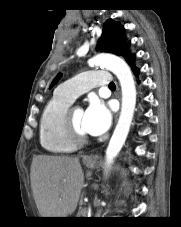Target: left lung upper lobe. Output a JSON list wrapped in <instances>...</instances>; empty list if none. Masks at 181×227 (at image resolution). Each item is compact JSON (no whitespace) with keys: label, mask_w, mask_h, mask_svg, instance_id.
Segmentation results:
<instances>
[{"label":"left lung upper lobe","mask_w":181,"mask_h":227,"mask_svg":"<svg viewBox=\"0 0 181 227\" xmlns=\"http://www.w3.org/2000/svg\"><path fill=\"white\" fill-rule=\"evenodd\" d=\"M124 41V28L119 22L110 19L104 23L102 37L98 42L100 51L125 56L128 52ZM61 76L62 74L59 73L55 77L50 88L57 83Z\"/></svg>","instance_id":"5c2ea615"}]
</instances>
